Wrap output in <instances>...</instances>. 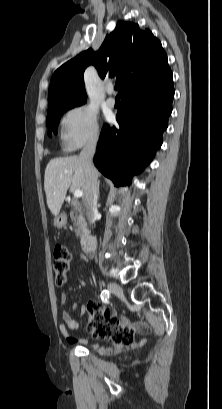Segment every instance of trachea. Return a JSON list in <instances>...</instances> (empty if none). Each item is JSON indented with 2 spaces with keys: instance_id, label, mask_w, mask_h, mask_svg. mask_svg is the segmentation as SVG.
<instances>
[{
  "instance_id": "trachea-1",
  "label": "trachea",
  "mask_w": 222,
  "mask_h": 409,
  "mask_svg": "<svg viewBox=\"0 0 222 409\" xmlns=\"http://www.w3.org/2000/svg\"><path fill=\"white\" fill-rule=\"evenodd\" d=\"M117 88H118V84H115V90H117Z\"/></svg>"
}]
</instances>
